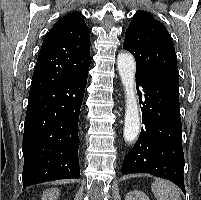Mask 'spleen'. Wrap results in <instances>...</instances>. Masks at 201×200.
Returning a JSON list of instances; mask_svg holds the SVG:
<instances>
[{
	"label": "spleen",
	"mask_w": 201,
	"mask_h": 200,
	"mask_svg": "<svg viewBox=\"0 0 201 200\" xmlns=\"http://www.w3.org/2000/svg\"><path fill=\"white\" fill-rule=\"evenodd\" d=\"M151 189L157 200H181L178 188L167 181L156 180Z\"/></svg>",
	"instance_id": "3e777b00"
}]
</instances>
